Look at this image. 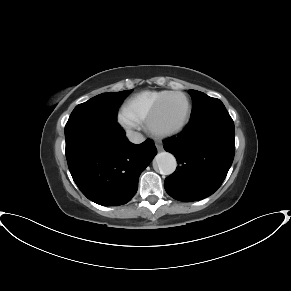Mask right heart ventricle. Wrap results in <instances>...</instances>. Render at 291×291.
I'll list each match as a JSON object with an SVG mask.
<instances>
[{
    "label": "right heart ventricle",
    "instance_id": "1",
    "mask_svg": "<svg viewBox=\"0 0 291 291\" xmlns=\"http://www.w3.org/2000/svg\"><path fill=\"white\" fill-rule=\"evenodd\" d=\"M170 91H142L130 96L124 109L138 122L146 121L158 100Z\"/></svg>",
    "mask_w": 291,
    "mask_h": 291
}]
</instances>
